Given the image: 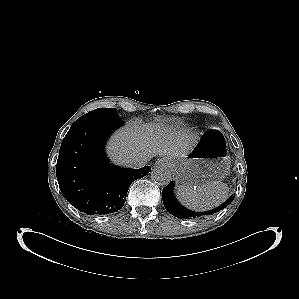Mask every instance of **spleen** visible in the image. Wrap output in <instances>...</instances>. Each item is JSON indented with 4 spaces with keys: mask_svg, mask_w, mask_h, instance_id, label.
Returning <instances> with one entry per match:
<instances>
[{
    "mask_svg": "<svg viewBox=\"0 0 299 299\" xmlns=\"http://www.w3.org/2000/svg\"><path fill=\"white\" fill-rule=\"evenodd\" d=\"M178 199L193 210H208L223 203L229 196L227 184L220 181L209 182L199 187L180 185Z\"/></svg>",
    "mask_w": 299,
    "mask_h": 299,
    "instance_id": "3e777b00",
    "label": "spleen"
}]
</instances>
